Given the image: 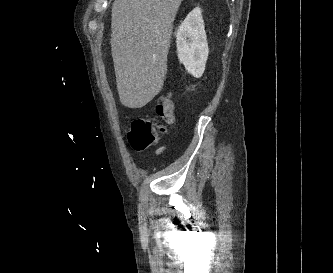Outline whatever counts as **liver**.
Instances as JSON below:
<instances>
[{"label": "liver", "mask_w": 333, "mask_h": 273, "mask_svg": "<svg viewBox=\"0 0 333 273\" xmlns=\"http://www.w3.org/2000/svg\"><path fill=\"white\" fill-rule=\"evenodd\" d=\"M183 0H115L111 51L120 102L141 108L162 90L173 22Z\"/></svg>", "instance_id": "obj_1"}]
</instances>
